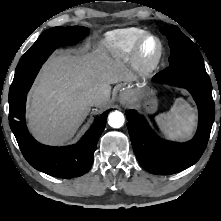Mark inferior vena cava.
<instances>
[{
    "label": "inferior vena cava",
    "instance_id": "1",
    "mask_svg": "<svg viewBox=\"0 0 221 221\" xmlns=\"http://www.w3.org/2000/svg\"><path fill=\"white\" fill-rule=\"evenodd\" d=\"M100 100L101 94L96 90H92L86 96V101L90 106L97 105L100 102Z\"/></svg>",
    "mask_w": 221,
    "mask_h": 221
}]
</instances>
